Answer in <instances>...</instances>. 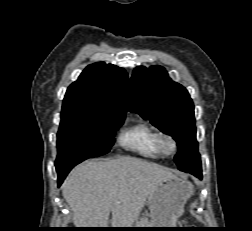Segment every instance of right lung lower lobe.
Instances as JSON below:
<instances>
[{"label": "right lung lower lobe", "instance_id": "obj_1", "mask_svg": "<svg viewBox=\"0 0 252 231\" xmlns=\"http://www.w3.org/2000/svg\"><path fill=\"white\" fill-rule=\"evenodd\" d=\"M80 162H76L73 164H70L68 166L56 169L57 170V174H58V186L61 185V183L63 182V180L65 179V177L67 176V174L69 173V171L76 166L77 164H79Z\"/></svg>", "mask_w": 252, "mask_h": 231}]
</instances>
